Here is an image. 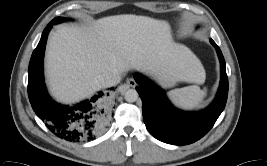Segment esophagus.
Segmentation results:
<instances>
[{
  "mask_svg": "<svg viewBox=\"0 0 267 166\" xmlns=\"http://www.w3.org/2000/svg\"><path fill=\"white\" fill-rule=\"evenodd\" d=\"M136 85H137V83H136L135 79L134 78H129L126 81V84H124V87L126 86V88H129V87L134 88V87H136ZM119 91L122 92L121 87H119Z\"/></svg>",
  "mask_w": 267,
  "mask_h": 166,
  "instance_id": "1",
  "label": "esophagus"
}]
</instances>
